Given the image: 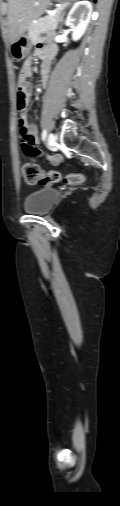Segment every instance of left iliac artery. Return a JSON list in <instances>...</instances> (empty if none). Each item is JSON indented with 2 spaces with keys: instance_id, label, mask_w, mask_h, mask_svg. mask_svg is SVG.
I'll use <instances>...</instances> for the list:
<instances>
[{
  "instance_id": "44dca946",
  "label": "left iliac artery",
  "mask_w": 120,
  "mask_h": 506,
  "mask_svg": "<svg viewBox=\"0 0 120 506\" xmlns=\"http://www.w3.org/2000/svg\"><path fill=\"white\" fill-rule=\"evenodd\" d=\"M46 136H47V132H46V130L44 129V130L42 131V140H43V141L46 139Z\"/></svg>"
}]
</instances>
